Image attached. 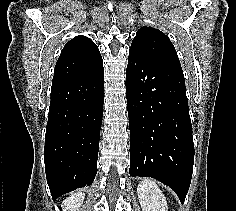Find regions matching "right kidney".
<instances>
[{
    "label": "right kidney",
    "instance_id": "right-kidney-1",
    "mask_svg": "<svg viewBox=\"0 0 236 211\" xmlns=\"http://www.w3.org/2000/svg\"><path fill=\"white\" fill-rule=\"evenodd\" d=\"M85 198V194L82 192H77L69 197H67L63 202H62V210L63 211H79L80 206L83 203V200Z\"/></svg>",
    "mask_w": 236,
    "mask_h": 211
}]
</instances>
